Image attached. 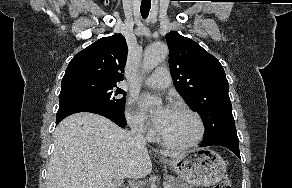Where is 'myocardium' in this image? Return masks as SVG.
Wrapping results in <instances>:
<instances>
[{"mask_svg":"<svg viewBox=\"0 0 292 188\" xmlns=\"http://www.w3.org/2000/svg\"><path fill=\"white\" fill-rule=\"evenodd\" d=\"M172 109L174 110H178V111H182V112H186L189 115H191L198 126V130H197V134L196 136L188 141V142H184V143H176V142H172L167 140L166 138H164L158 131V129H156V139L164 146L168 147V148H172V149H186V148H190V147H194L196 146L198 143H200L202 141V139L205 136V132H206V128H205V123L203 118L201 117V115L196 112L195 110H193L192 108H190L187 105L184 104H176L172 107Z\"/></svg>","mask_w":292,"mask_h":188,"instance_id":"1","label":"myocardium"}]
</instances>
